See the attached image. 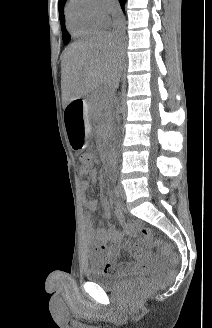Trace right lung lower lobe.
<instances>
[{
  "instance_id": "98d812e1",
  "label": "right lung lower lobe",
  "mask_w": 212,
  "mask_h": 328,
  "mask_svg": "<svg viewBox=\"0 0 212 328\" xmlns=\"http://www.w3.org/2000/svg\"><path fill=\"white\" fill-rule=\"evenodd\" d=\"M120 1V4H121V8L123 9V11H124V4H125V1L126 0H119Z\"/></svg>"
}]
</instances>
